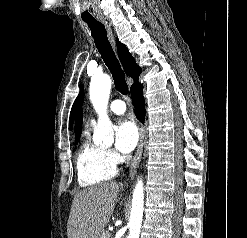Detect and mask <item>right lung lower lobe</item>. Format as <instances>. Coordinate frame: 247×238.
<instances>
[{"label": "right lung lower lobe", "instance_id": "obj_1", "mask_svg": "<svg viewBox=\"0 0 247 238\" xmlns=\"http://www.w3.org/2000/svg\"><path fill=\"white\" fill-rule=\"evenodd\" d=\"M130 91L132 103L136 109V117L143 123L145 118V104L142 93V84L139 83L138 85L130 89Z\"/></svg>", "mask_w": 247, "mask_h": 238}]
</instances>
